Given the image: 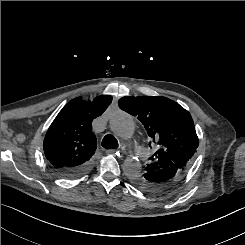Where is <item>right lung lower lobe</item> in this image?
I'll return each mask as SVG.
<instances>
[{"mask_svg": "<svg viewBox=\"0 0 245 245\" xmlns=\"http://www.w3.org/2000/svg\"><path fill=\"white\" fill-rule=\"evenodd\" d=\"M92 167V161L76 167V168H61V169H53L58 175L64 178H78L90 171Z\"/></svg>", "mask_w": 245, "mask_h": 245, "instance_id": "98d812e1", "label": "right lung lower lobe"}]
</instances>
